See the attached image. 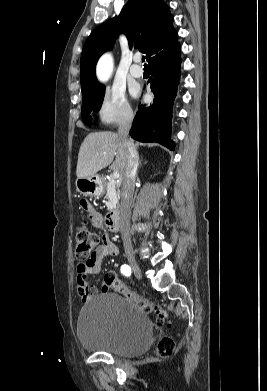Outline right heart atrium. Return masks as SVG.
I'll use <instances>...</instances> for the list:
<instances>
[{"mask_svg":"<svg viewBox=\"0 0 267 391\" xmlns=\"http://www.w3.org/2000/svg\"><path fill=\"white\" fill-rule=\"evenodd\" d=\"M97 115L103 125H116L129 122L133 112L124 92L111 88L105 91Z\"/></svg>","mask_w":267,"mask_h":391,"instance_id":"obj_1","label":"right heart atrium"}]
</instances>
